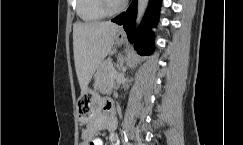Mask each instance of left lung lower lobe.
Wrapping results in <instances>:
<instances>
[{
    "label": "left lung lower lobe",
    "instance_id": "left-lung-lower-lobe-1",
    "mask_svg": "<svg viewBox=\"0 0 243 145\" xmlns=\"http://www.w3.org/2000/svg\"><path fill=\"white\" fill-rule=\"evenodd\" d=\"M161 0H151L145 19L139 32L137 33V42L135 49L142 55L151 54L153 37L150 29L156 25L159 16V7ZM137 14V0H133L126 12L112 19L113 22L123 25L128 39L132 41L134 31V22Z\"/></svg>",
    "mask_w": 243,
    "mask_h": 145
}]
</instances>
